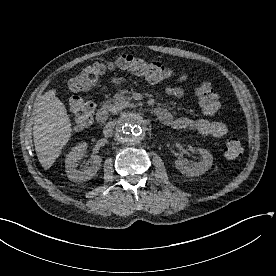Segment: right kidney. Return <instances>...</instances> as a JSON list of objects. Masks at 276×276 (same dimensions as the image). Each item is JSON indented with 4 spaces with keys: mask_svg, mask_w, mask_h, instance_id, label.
<instances>
[{
    "mask_svg": "<svg viewBox=\"0 0 276 276\" xmlns=\"http://www.w3.org/2000/svg\"><path fill=\"white\" fill-rule=\"evenodd\" d=\"M86 149V142L78 143L66 156V173L68 178L73 182L81 183L90 180L93 176L96 175L97 171L101 167L102 159L100 156L95 155L92 158L91 165L87 169L83 171L77 169V162L84 156Z\"/></svg>",
    "mask_w": 276,
    "mask_h": 276,
    "instance_id": "ca27d5eb",
    "label": "right kidney"
}]
</instances>
